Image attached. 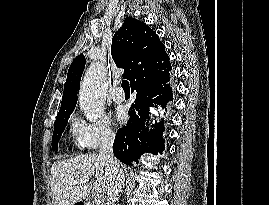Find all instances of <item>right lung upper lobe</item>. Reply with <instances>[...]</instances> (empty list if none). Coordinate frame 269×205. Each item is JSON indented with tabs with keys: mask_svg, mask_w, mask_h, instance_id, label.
I'll return each instance as SVG.
<instances>
[{
	"mask_svg": "<svg viewBox=\"0 0 269 205\" xmlns=\"http://www.w3.org/2000/svg\"><path fill=\"white\" fill-rule=\"evenodd\" d=\"M111 54L116 65L124 68L123 77L130 80L132 89L170 79L172 68L164 44L150 27L137 19H125L112 39ZM84 67L85 57L80 54L69 67L56 119L71 115L75 109Z\"/></svg>",
	"mask_w": 269,
	"mask_h": 205,
	"instance_id": "right-lung-upper-lobe-1",
	"label": "right lung upper lobe"
}]
</instances>
